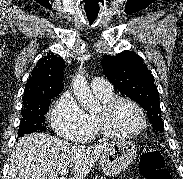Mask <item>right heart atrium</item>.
I'll list each match as a JSON object with an SVG mask.
<instances>
[{
    "instance_id": "obj_1",
    "label": "right heart atrium",
    "mask_w": 183,
    "mask_h": 179,
    "mask_svg": "<svg viewBox=\"0 0 183 179\" xmlns=\"http://www.w3.org/2000/svg\"><path fill=\"white\" fill-rule=\"evenodd\" d=\"M51 126L58 136L83 141L92 133V124L75 97L64 93L51 110Z\"/></svg>"
}]
</instances>
